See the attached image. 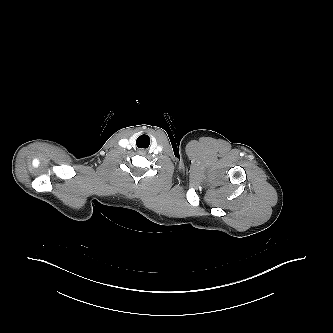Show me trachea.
<instances>
[{"label":"trachea","instance_id":"1","mask_svg":"<svg viewBox=\"0 0 333 333\" xmlns=\"http://www.w3.org/2000/svg\"><path fill=\"white\" fill-rule=\"evenodd\" d=\"M148 142L150 143V139L147 135L139 136L136 141L138 147H142V146H144V144H148ZM143 148H145V147H143Z\"/></svg>","mask_w":333,"mask_h":333}]
</instances>
